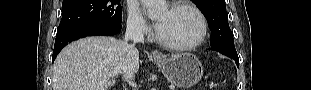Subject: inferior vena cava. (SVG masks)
Returning a JSON list of instances; mask_svg holds the SVG:
<instances>
[{"label": "inferior vena cava", "instance_id": "inferior-vena-cava-1", "mask_svg": "<svg viewBox=\"0 0 311 90\" xmlns=\"http://www.w3.org/2000/svg\"><path fill=\"white\" fill-rule=\"evenodd\" d=\"M124 42L127 43L128 48H126V53H124L123 58L124 60H127L126 63L129 70H136L139 63L136 49L139 46V43L144 42L142 27L137 23L127 24ZM125 76L133 79L135 77V73L129 72Z\"/></svg>", "mask_w": 311, "mask_h": 90}]
</instances>
